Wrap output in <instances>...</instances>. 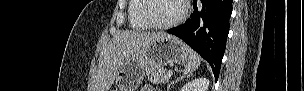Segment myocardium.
I'll use <instances>...</instances> for the list:
<instances>
[{"mask_svg": "<svg viewBox=\"0 0 304 91\" xmlns=\"http://www.w3.org/2000/svg\"><path fill=\"white\" fill-rule=\"evenodd\" d=\"M179 1L182 4V11H181L180 15L171 22H168L165 24H157L150 19L149 15H148L150 0H141V2H142V7H141V11H140L141 17H142L143 21L149 26V28H153L156 30H167V29L174 28L184 21V19L186 18L187 14H188V11H189L188 2L186 0H179Z\"/></svg>", "mask_w": 304, "mask_h": 91, "instance_id": "f54148a6", "label": "myocardium"}]
</instances>
